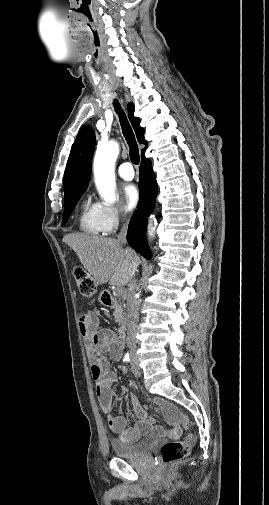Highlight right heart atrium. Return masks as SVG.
<instances>
[{
  "mask_svg": "<svg viewBox=\"0 0 269 505\" xmlns=\"http://www.w3.org/2000/svg\"><path fill=\"white\" fill-rule=\"evenodd\" d=\"M100 210L102 224L106 232L115 231L128 218V213L117 205L100 204Z\"/></svg>",
  "mask_w": 269,
  "mask_h": 505,
  "instance_id": "1",
  "label": "right heart atrium"
}]
</instances>
